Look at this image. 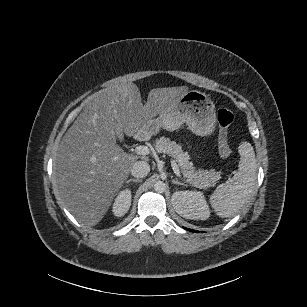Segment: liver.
Here are the masks:
<instances>
[{
  "mask_svg": "<svg viewBox=\"0 0 307 307\" xmlns=\"http://www.w3.org/2000/svg\"><path fill=\"white\" fill-rule=\"evenodd\" d=\"M188 89H152L144 105L133 82L104 88L89 97L65 133L54 163L56 198L78 221L95 226L102 220L138 159L116 144L115 130L134 136L153 117L176 107Z\"/></svg>",
  "mask_w": 307,
  "mask_h": 307,
  "instance_id": "6515ba94",
  "label": "liver"
}]
</instances>
